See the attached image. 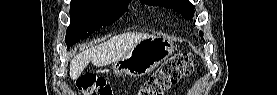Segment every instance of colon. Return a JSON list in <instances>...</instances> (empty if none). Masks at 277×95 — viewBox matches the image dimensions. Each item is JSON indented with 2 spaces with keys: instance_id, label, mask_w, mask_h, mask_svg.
<instances>
[{
  "instance_id": "5ec220e1",
  "label": "colon",
  "mask_w": 277,
  "mask_h": 95,
  "mask_svg": "<svg viewBox=\"0 0 277 95\" xmlns=\"http://www.w3.org/2000/svg\"><path fill=\"white\" fill-rule=\"evenodd\" d=\"M195 70L193 57L189 53H180L168 59L145 82L139 95H162L171 85L182 77L191 75ZM77 88L88 95H111L112 86L105 80L95 76L81 77Z\"/></svg>"
}]
</instances>
